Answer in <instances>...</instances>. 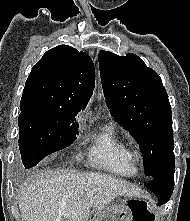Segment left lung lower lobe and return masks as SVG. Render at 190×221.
Instances as JSON below:
<instances>
[{
  "mask_svg": "<svg viewBox=\"0 0 190 221\" xmlns=\"http://www.w3.org/2000/svg\"><path fill=\"white\" fill-rule=\"evenodd\" d=\"M174 160L167 165L156 177L145 184L158 197V206L165 204L171 197L174 188Z\"/></svg>",
  "mask_w": 190,
  "mask_h": 221,
  "instance_id": "obj_1",
  "label": "left lung lower lobe"
}]
</instances>
